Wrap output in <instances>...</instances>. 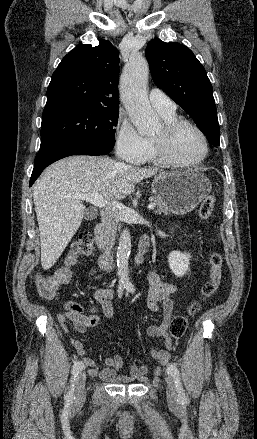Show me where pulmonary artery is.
Returning a JSON list of instances; mask_svg holds the SVG:
<instances>
[{"label":"pulmonary artery","mask_w":257,"mask_h":439,"mask_svg":"<svg viewBox=\"0 0 257 439\" xmlns=\"http://www.w3.org/2000/svg\"><path fill=\"white\" fill-rule=\"evenodd\" d=\"M149 101L161 115L175 114L176 107L174 102L162 90L157 88L151 89Z\"/></svg>","instance_id":"1"}]
</instances>
